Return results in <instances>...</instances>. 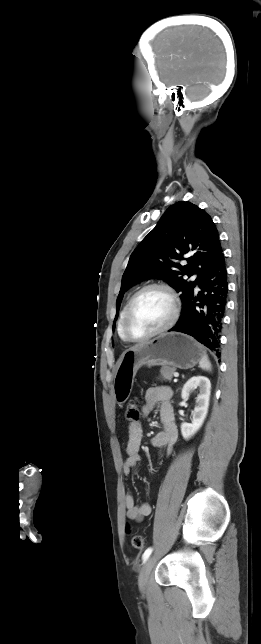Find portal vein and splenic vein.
Masks as SVG:
<instances>
[{
  "mask_svg": "<svg viewBox=\"0 0 261 644\" xmlns=\"http://www.w3.org/2000/svg\"><path fill=\"white\" fill-rule=\"evenodd\" d=\"M179 374L177 372L174 373V377H178Z\"/></svg>",
  "mask_w": 261,
  "mask_h": 644,
  "instance_id": "portal-vein-and-splenic-vein-1",
  "label": "portal vein and splenic vein"
}]
</instances>
